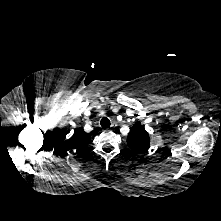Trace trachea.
I'll return each mask as SVG.
<instances>
[{"label": "trachea", "mask_w": 221, "mask_h": 221, "mask_svg": "<svg viewBox=\"0 0 221 221\" xmlns=\"http://www.w3.org/2000/svg\"><path fill=\"white\" fill-rule=\"evenodd\" d=\"M100 124H101V126L103 127V128H108V127H110V120L107 118V117H103L102 119H101V122H100Z\"/></svg>", "instance_id": "3493384b"}]
</instances>
